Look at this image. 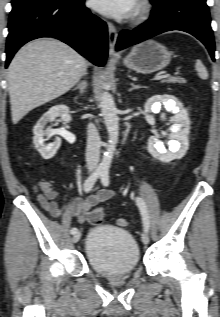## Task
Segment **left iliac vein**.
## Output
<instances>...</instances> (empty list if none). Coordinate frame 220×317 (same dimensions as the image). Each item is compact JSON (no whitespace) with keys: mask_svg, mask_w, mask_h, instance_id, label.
Returning <instances> with one entry per match:
<instances>
[{"mask_svg":"<svg viewBox=\"0 0 220 317\" xmlns=\"http://www.w3.org/2000/svg\"><path fill=\"white\" fill-rule=\"evenodd\" d=\"M141 239H142V242L144 244H148L149 243V236H148L147 232H143L142 233Z\"/></svg>","mask_w":220,"mask_h":317,"instance_id":"obj_1","label":"left iliac vein"}]
</instances>
